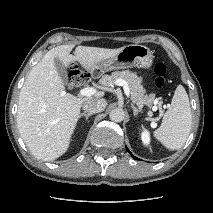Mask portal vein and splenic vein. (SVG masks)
<instances>
[{
    "mask_svg": "<svg viewBox=\"0 0 213 213\" xmlns=\"http://www.w3.org/2000/svg\"><path fill=\"white\" fill-rule=\"evenodd\" d=\"M115 84L117 86H122L125 95L127 97H130V88L128 86V83L124 79H117L115 81ZM78 93L80 96H92V95L96 94L97 91L94 87H85V88L81 89ZM156 110H157V106H153L152 111H156ZM148 115L152 116V113L148 112Z\"/></svg>",
    "mask_w": 213,
    "mask_h": 213,
    "instance_id": "obj_1",
    "label": "portal vein and splenic vein"
}]
</instances>
